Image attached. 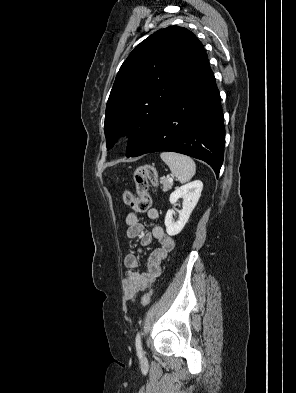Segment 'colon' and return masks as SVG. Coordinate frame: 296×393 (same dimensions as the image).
<instances>
[{"mask_svg": "<svg viewBox=\"0 0 296 393\" xmlns=\"http://www.w3.org/2000/svg\"><path fill=\"white\" fill-rule=\"evenodd\" d=\"M134 182L137 195H134L129 190H124L123 200L135 213L147 212L151 206L150 183L154 186L158 184L155 168L151 165L139 166L134 172ZM152 293V291H148L143 295L141 299L143 306H147L150 303Z\"/></svg>", "mask_w": 296, "mask_h": 393, "instance_id": "1", "label": "colon"}]
</instances>
